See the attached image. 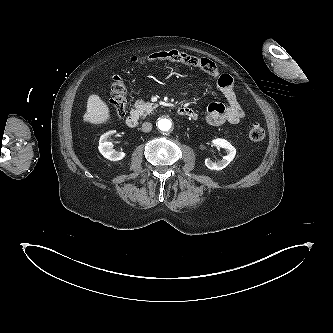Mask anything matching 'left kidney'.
<instances>
[{
	"label": "left kidney",
	"instance_id": "obj_1",
	"mask_svg": "<svg viewBox=\"0 0 333 333\" xmlns=\"http://www.w3.org/2000/svg\"><path fill=\"white\" fill-rule=\"evenodd\" d=\"M218 147L224 148L227 150L228 154L223 157L221 161L214 162L210 159H205V165L211 170H222L228 166V164L234 159L236 155L235 147L225 139L217 138L212 141Z\"/></svg>",
	"mask_w": 333,
	"mask_h": 333
}]
</instances>
